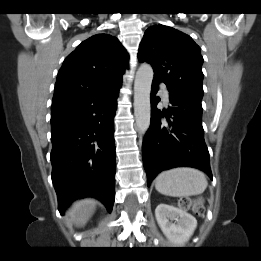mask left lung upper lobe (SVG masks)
Segmentation results:
<instances>
[{
	"label": "left lung upper lobe",
	"instance_id": "5c2ea615",
	"mask_svg": "<svg viewBox=\"0 0 261 261\" xmlns=\"http://www.w3.org/2000/svg\"><path fill=\"white\" fill-rule=\"evenodd\" d=\"M140 62H148L154 70V80L202 100L203 57L193 39L172 27L155 25L148 28L138 51Z\"/></svg>",
	"mask_w": 261,
	"mask_h": 261
}]
</instances>
